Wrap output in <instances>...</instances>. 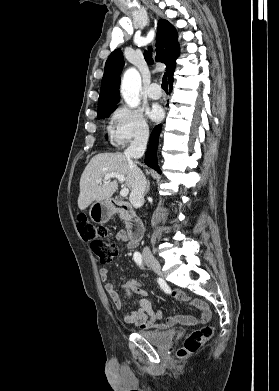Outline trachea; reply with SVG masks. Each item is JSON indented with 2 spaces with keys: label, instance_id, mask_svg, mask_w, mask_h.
I'll use <instances>...</instances> for the list:
<instances>
[{
  "label": "trachea",
  "instance_id": "1",
  "mask_svg": "<svg viewBox=\"0 0 279 391\" xmlns=\"http://www.w3.org/2000/svg\"><path fill=\"white\" fill-rule=\"evenodd\" d=\"M162 89L167 91L168 90V82H167V76L164 74L162 79Z\"/></svg>",
  "mask_w": 279,
  "mask_h": 391
}]
</instances>
